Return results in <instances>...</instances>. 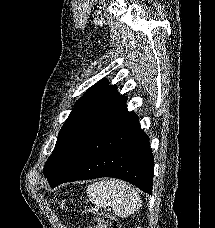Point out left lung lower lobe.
Here are the masks:
<instances>
[{
    "mask_svg": "<svg viewBox=\"0 0 215 228\" xmlns=\"http://www.w3.org/2000/svg\"><path fill=\"white\" fill-rule=\"evenodd\" d=\"M113 177L126 180L152 194L153 154L149 137L141 130L138 117L126 103L102 123L53 179L61 183Z\"/></svg>",
    "mask_w": 215,
    "mask_h": 228,
    "instance_id": "0a47b994",
    "label": "left lung lower lobe"
}]
</instances>
